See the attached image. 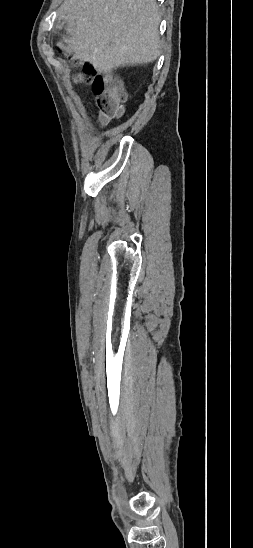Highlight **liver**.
I'll return each instance as SVG.
<instances>
[{
  "instance_id": "liver-1",
  "label": "liver",
  "mask_w": 253,
  "mask_h": 548,
  "mask_svg": "<svg viewBox=\"0 0 253 548\" xmlns=\"http://www.w3.org/2000/svg\"><path fill=\"white\" fill-rule=\"evenodd\" d=\"M64 50L98 72L145 64L160 55L161 16L155 0H64Z\"/></svg>"
}]
</instances>
